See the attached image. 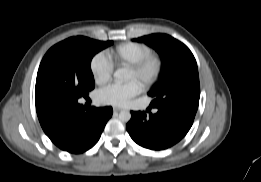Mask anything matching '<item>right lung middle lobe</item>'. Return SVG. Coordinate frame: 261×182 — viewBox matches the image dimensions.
<instances>
[{
  "instance_id": "dd1d6c3e",
  "label": "right lung middle lobe",
  "mask_w": 261,
  "mask_h": 182,
  "mask_svg": "<svg viewBox=\"0 0 261 182\" xmlns=\"http://www.w3.org/2000/svg\"><path fill=\"white\" fill-rule=\"evenodd\" d=\"M113 44L83 36L68 38L48 50L37 73L36 106L57 101L75 102L94 86L90 68L93 56Z\"/></svg>"
}]
</instances>
